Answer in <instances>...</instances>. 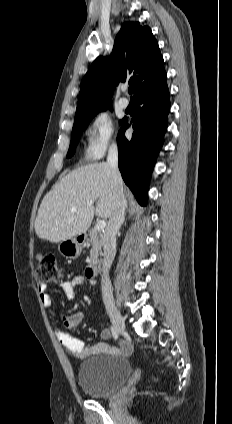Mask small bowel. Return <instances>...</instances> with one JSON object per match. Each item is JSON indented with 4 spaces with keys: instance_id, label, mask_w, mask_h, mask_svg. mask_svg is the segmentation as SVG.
Masks as SVG:
<instances>
[{
    "instance_id": "small-bowel-1",
    "label": "small bowel",
    "mask_w": 232,
    "mask_h": 424,
    "mask_svg": "<svg viewBox=\"0 0 232 424\" xmlns=\"http://www.w3.org/2000/svg\"><path fill=\"white\" fill-rule=\"evenodd\" d=\"M95 281L88 274H79L68 281L60 284L61 290L67 299L75 297L77 288L83 285L93 286ZM40 299L45 308H50L52 298L46 292V286L38 285ZM83 311H75L61 315L63 328L56 329L57 338L63 349L72 357L77 359H86L93 355L107 354L112 356H129L132 353L133 347L129 342L121 341L119 347H111L105 343H97L94 345H85V343L72 336L69 331L76 329L84 318ZM112 336V331L105 328L101 331L100 337L102 340H108Z\"/></svg>"
}]
</instances>
